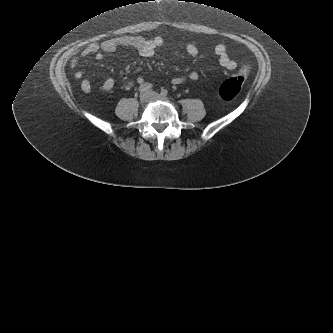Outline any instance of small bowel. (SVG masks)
<instances>
[{
  "instance_id": "obj_1",
  "label": "small bowel",
  "mask_w": 333,
  "mask_h": 333,
  "mask_svg": "<svg viewBox=\"0 0 333 333\" xmlns=\"http://www.w3.org/2000/svg\"><path fill=\"white\" fill-rule=\"evenodd\" d=\"M164 41L159 37L154 38H144L141 36H123L109 38L101 43H91L86 46L82 52L81 57L85 58L89 55H94L97 60H102L104 58V53L113 52L118 48L130 47L137 50V52L145 58L152 57L156 50L163 47ZM185 49L187 53L191 56H196L198 54V49L195 45L191 43H185ZM215 55L218 57L220 65L227 70H234L236 68V63L228 54V50L224 45L216 46ZM79 63V58L73 54L69 57V64L72 69L76 68ZM83 72L81 69H76L73 72L74 79H81ZM199 74L196 71L190 72L186 76L175 77L171 80L174 85H179L184 83L187 79L198 80ZM138 82L143 84L144 80L142 78L138 79ZM115 81L112 77H106L100 87V91L109 92L114 88ZM128 87L133 86L132 82L127 84ZM91 82L88 79H84L81 82V88L85 92L91 90Z\"/></svg>"
}]
</instances>
